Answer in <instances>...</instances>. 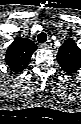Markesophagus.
Returning a JSON list of instances; mask_svg holds the SVG:
<instances>
[{"mask_svg":"<svg viewBox=\"0 0 81 124\" xmlns=\"http://www.w3.org/2000/svg\"><path fill=\"white\" fill-rule=\"evenodd\" d=\"M52 45L51 40H47L45 43H43L41 46L45 48H50Z\"/></svg>","mask_w":81,"mask_h":124,"instance_id":"1","label":"esophagus"}]
</instances>
